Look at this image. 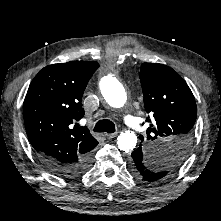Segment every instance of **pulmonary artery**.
Listing matches in <instances>:
<instances>
[{
	"mask_svg": "<svg viewBox=\"0 0 221 221\" xmlns=\"http://www.w3.org/2000/svg\"><path fill=\"white\" fill-rule=\"evenodd\" d=\"M124 122L128 127H130L133 130H138L140 128L139 121L130 114H126L124 116Z\"/></svg>",
	"mask_w": 221,
	"mask_h": 221,
	"instance_id": "pulmonary-artery-1",
	"label": "pulmonary artery"
}]
</instances>
